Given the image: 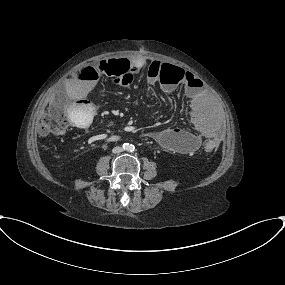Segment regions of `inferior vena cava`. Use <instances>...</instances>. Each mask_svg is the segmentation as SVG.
<instances>
[{
	"label": "inferior vena cava",
	"instance_id": "obj_1",
	"mask_svg": "<svg viewBox=\"0 0 285 285\" xmlns=\"http://www.w3.org/2000/svg\"><path fill=\"white\" fill-rule=\"evenodd\" d=\"M123 151V148L122 147H120V146H116V147H114L113 148V150H112V152L113 153H121Z\"/></svg>",
	"mask_w": 285,
	"mask_h": 285
}]
</instances>
